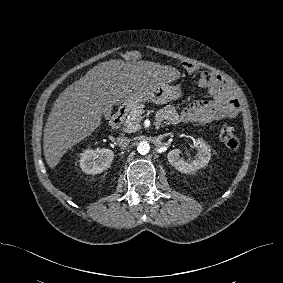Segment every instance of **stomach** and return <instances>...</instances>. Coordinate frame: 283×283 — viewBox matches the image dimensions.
Returning a JSON list of instances; mask_svg holds the SVG:
<instances>
[{
    "instance_id": "obj_1",
    "label": "stomach",
    "mask_w": 283,
    "mask_h": 283,
    "mask_svg": "<svg viewBox=\"0 0 283 283\" xmlns=\"http://www.w3.org/2000/svg\"><path fill=\"white\" fill-rule=\"evenodd\" d=\"M181 96V90L178 86L162 83L140 94L135 95L125 101L122 106L131 110L134 106L141 102H152L155 104H165L172 100H176Z\"/></svg>"
}]
</instances>
